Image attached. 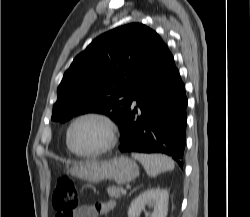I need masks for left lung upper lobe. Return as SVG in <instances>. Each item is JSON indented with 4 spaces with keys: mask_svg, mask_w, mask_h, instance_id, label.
Here are the masks:
<instances>
[{
    "mask_svg": "<svg viewBox=\"0 0 250 217\" xmlns=\"http://www.w3.org/2000/svg\"><path fill=\"white\" fill-rule=\"evenodd\" d=\"M162 42L141 23L115 28L94 39L65 72L52 120L66 122L97 112L121 127L132 104V91L152 66Z\"/></svg>",
    "mask_w": 250,
    "mask_h": 217,
    "instance_id": "5c2ea615",
    "label": "left lung upper lobe"
}]
</instances>
